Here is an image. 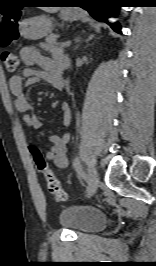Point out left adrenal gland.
Returning <instances> with one entry per match:
<instances>
[{
    "label": "left adrenal gland",
    "instance_id": "a2214340",
    "mask_svg": "<svg viewBox=\"0 0 156 266\" xmlns=\"http://www.w3.org/2000/svg\"><path fill=\"white\" fill-rule=\"evenodd\" d=\"M78 41H80V40H78ZM78 46H79V45H77L75 49H77V48H78Z\"/></svg>",
    "mask_w": 156,
    "mask_h": 266
}]
</instances>
